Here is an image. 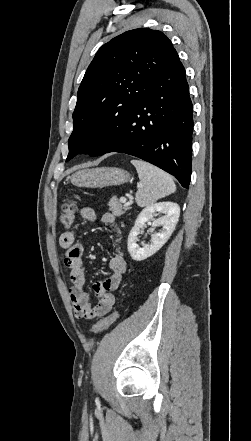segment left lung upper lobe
Listing matches in <instances>:
<instances>
[{"label": "left lung upper lobe", "mask_w": 251, "mask_h": 441, "mask_svg": "<svg viewBox=\"0 0 251 441\" xmlns=\"http://www.w3.org/2000/svg\"><path fill=\"white\" fill-rule=\"evenodd\" d=\"M175 52L167 36L148 28L127 31L104 44L78 89L66 161L81 150L90 155L95 132L123 122Z\"/></svg>", "instance_id": "left-lung-upper-lobe-1"}]
</instances>
